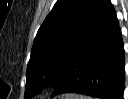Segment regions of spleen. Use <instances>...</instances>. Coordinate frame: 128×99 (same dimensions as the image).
<instances>
[{"instance_id":"1","label":"spleen","mask_w":128,"mask_h":99,"mask_svg":"<svg viewBox=\"0 0 128 99\" xmlns=\"http://www.w3.org/2000/svg\"><path fill=\"white\" fill-rule=\"evenodd\" d=\"M79 99H88L87 97H84V96H80L78 97Z\"/></svg>"}]
</instances>
